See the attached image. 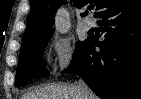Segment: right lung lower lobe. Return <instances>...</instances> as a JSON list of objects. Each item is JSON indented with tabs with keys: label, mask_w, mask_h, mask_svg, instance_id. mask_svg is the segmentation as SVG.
I'll return each mask as SVG.
<instances>
[{
	"label": "right lung lower lobe",
	"mask_w": 141,
	"mask_h": 99,
	"mask_svg": "<svg viewBox=\"0 0 141 99\" xmlns=\"http://www.w3.org/2000/svg\"><path fill=\"white\" fill-rule=\"evenodd\" d=\"M98 17L105 40L89 37L64 72L80 75L102 99H141V0H112Z\"/></svg>",
	"instance_id": "1"
}]
</instances>
